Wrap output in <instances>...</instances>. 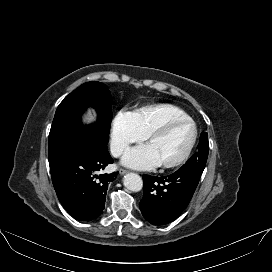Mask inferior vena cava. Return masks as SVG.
I'll return each instance as SVG.
<instances>
[{
    "label": "inferior vena cava",
    "instance_id": "inferior-vena-cava-1",
    "mask_svg": "<svg viewBox=\"0 0 272 272\" xmlns=\"http://www.w3.org/2000/svg\"><path fill=\"white\" fill-rule=\"evenodd\" d=\"M111 153L114 157H119L123 154L126 149V144L121 142H115L111 144Z\"/></svg>",
    "mask_w": 272,
    "mask_h": 272
}]
</instances>
